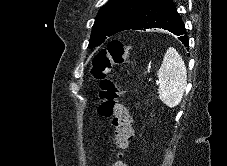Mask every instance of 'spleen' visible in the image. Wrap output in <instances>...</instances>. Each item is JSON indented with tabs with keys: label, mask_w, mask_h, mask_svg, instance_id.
Here are the masks:
<instances>
[{
	"label": "spleen",
	"mask_w": 227,
	"mask_h": 166,
	"mask_svg": "<svg viewBox=\"0 0 227 166\" xmlns=\"http://www.w3.org/2000/svg\"><path fill=\"white\" fill-rule=\"evenodd\" d=\"M157 77L159 99L170 108L176 107L187 85V71L182 57L173 47L167 49Z\"/></svg>",
	"instance_id": "3e777b00"
}]
</instances>
